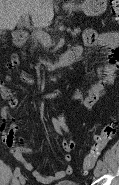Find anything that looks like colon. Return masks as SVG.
<instances>
[{
	"instance_id": "5ec220e1",
	"label": "colon",
	"mask_w": 119,
	"mask_h": 185,
	"mask_svg": "<svg viewBox=\"0 0 119 185\" xmlns=\"http://www.w3.org/2000/svg\"><path fill=\"white\" fill-rule=\"evenodd\" d=\"M110 10L112 18L119 20V0H110ZM117 131V122L112 119L101 130L100 134L95 139V144L90 153L85 156L82 169L88 173L95 165L96 160L100 157L108 143L114 138Z\"/></svg>"
}]
</instances>
